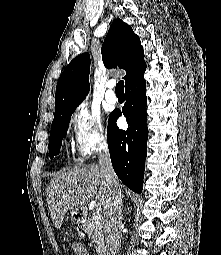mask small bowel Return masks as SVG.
<instances>
[{
	"label": "small bowel",
	"mask_w": 221,
	"mask_h": 255,
	"mask_svg": "<svg viewBox=\"0 0 221 255\" xmlns=\"http://www.w3.org/2000/svg\"><path fill=\"white\" fill-rule=\"evenodd\" d=\"M72 250L75 255H90L87 248L78 241L72 242Z\"/></svg>",
	"instance_id": "1"
}]
</instances>
